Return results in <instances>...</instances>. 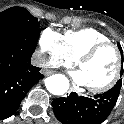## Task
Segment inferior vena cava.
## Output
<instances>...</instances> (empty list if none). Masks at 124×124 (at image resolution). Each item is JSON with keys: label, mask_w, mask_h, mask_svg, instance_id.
I'll return each instance as SVG.
<instances>
[{"label": "inferior vena cava", "mask_w": 124, "mask_h": 124, "mask_svg": "<svg viewBox=\"0 0 124 124\" xmlns=\"http://www.w3.org/2000/svg\"><path fill=\"white\" fill-rule=\"evenodd\" d=\"M32 64L38 67H42L44 65V59L41 54H35L32 57Z\"/></svg>", "instance_id": "1"}]
</instances>
